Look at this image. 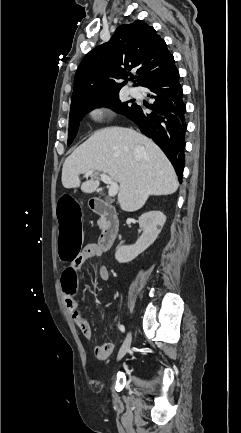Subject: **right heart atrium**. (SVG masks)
<instances>
[{
    "label": "right heart atrium",
    "mask_w": 241,
    "mask_h": 433,
    "mask_svg": "<svg viewBox=\"0 0 241 433\" xmlns=\"http://www.w3.org/2000/svg\"><path fill=\"white\" fill-rule=\"evenodd\" d=\"M100 114V111L95 110L92 112V116L97 117Z\"/></svg>",
    "instance_id": "1"
}]
</instances>
